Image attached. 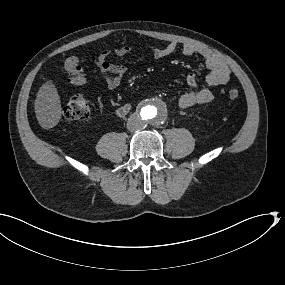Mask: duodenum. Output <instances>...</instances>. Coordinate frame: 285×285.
Masks as SVG:
<instances>
[{
    "label": "duodenum",
    "instance_id": "obj_1",
    "mask_svg": "<svg viewBox=\"0 0 285 285\" xmlns=\"http://www.w3.org/2000/svg\"><path fill=\"white\" fill-rule=\"evenodd\" d=\"M129 109H130L129 105H124L118 108L117 113L118 115L123 116L128 113Z\"/></svg>",
    "mask_w": 285,
    "mask_h": 285
}]
</instances>
